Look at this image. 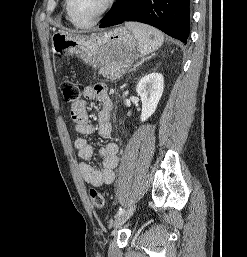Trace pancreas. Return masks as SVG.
Wrapping results in <instances>:
<instances>
[{"label": "pancreas", "mask_w": 247, "mask_h": 257, "mask_svg": "<svg viewBox=\"0 0 247 257\" xmlns=\"http://www.w3.org/2000/svg\"><path fill=\"white\" fill-rule=\"evenodd\" d=\"M123 73V66L117 63H107L99 70V74L111 80L121 77Z\"/></svg>", "instance_id": "pancreas-1"}]
</instances>
